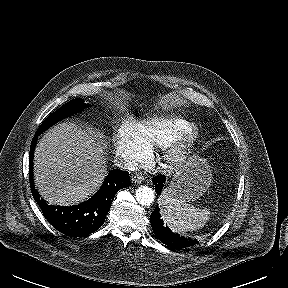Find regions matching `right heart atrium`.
Here are the masks:
<instances>
[{
  "mask_svg": "<svg viewBox=\"0 0 288 288\" xmlns=\"http://www.w3.org/2000/svg\"><path fill=\"white\" fill-rule=\"evenodd\" d=\"M115 150L129 168L145 164L151 154V148L143 139L139 127L133 122H126L117 130Z\"/></svg>",
  "mask_w": 288,
  "mask_h": 288,
  "instance_id": "right-heart-atrium-1",
  "label": "right heart atrium"
}]
</instances>
